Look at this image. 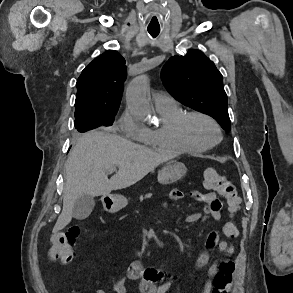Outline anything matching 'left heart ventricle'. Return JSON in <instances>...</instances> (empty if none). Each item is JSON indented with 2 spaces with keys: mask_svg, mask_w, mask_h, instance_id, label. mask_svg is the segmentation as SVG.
I'll use <instances>...</instances> for the list:
<instances>
[{
  "mask_svg": "<svg viewBox=\"0 0 293 293\" xmlns=\"http://www.w3.org/2000/svg\"><path fill=\"white\" fill-rule=\"evenodd\" d=\"M188 133L190 139L200 145L211 143L218 137L214 126L202 118H193L190 120Z\"/></svg>",
  "mask_w": 293,
  "mask_h": 293,
  "instance_id": "1",
  "label": "left heart ventricle"
}]
</instances>
